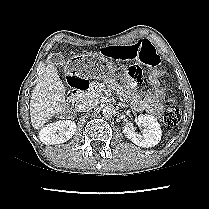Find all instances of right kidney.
Wrapping results in <instances>:
<instances>
[{
    "mask_svg": "<svg viewBox=\"0 0 209 209\" xmlns=\"http://www.w3.org/2000/svg\"><path fill=\"white\" fill-rule=\"evenodd\" d=\"M76 124L71 120L56 121L43 127L39 132V139L46 145L67 142L75 134Z\"/></svg>",
    "mask_w": 209,
    "mask_h": 209,
    "instance_id": "1",
    "label": "right kidney"
}]
</instances>
